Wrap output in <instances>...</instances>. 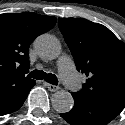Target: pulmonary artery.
<instances>
[{
  "label": "pulmonary artery",
  "mask_w": 125,
  "mask_h": 125,
  "mask_svg": "<svg viewBox=\"0 0 125 125\" xmlns=\"http://www.w3.org/2000/svg\"><path fill=\"white\" fill-rule=\"evenodd\" d=\"M58 69L61 79L69 88L78 86V76L74 70L73 62L70 57L62 56L58 61Z\"/></svg>",
  "instance_id": "e3ab8cb5"
}]
</instances>
